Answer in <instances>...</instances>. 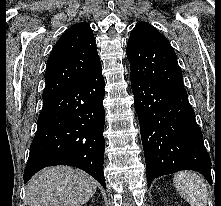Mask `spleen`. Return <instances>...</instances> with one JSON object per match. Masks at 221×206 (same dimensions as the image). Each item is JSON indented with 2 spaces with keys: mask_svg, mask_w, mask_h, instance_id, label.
Here are the masks:
<instances>
[{
  "mask_svg": "<svg viewBox=\"0 0 221 206\" xmlns=\"http://www.w3.org/2000/svg\"><path fill=\"white\" fill-rule=\"evenodd\" d=\"M174 186L191 206H207V185L196 173L182 171L174 176Z\"/></svg>",
  "mask_w": 221,
  "mask_h": 206,
  "instance_id": "1",
  "label": "spleen"
}]
</instances>
